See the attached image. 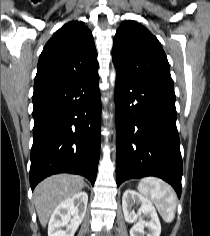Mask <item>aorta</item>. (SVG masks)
<instances>
[{"label": "aorta", "instance_id": "aorta-1", "mask_svg": "<svg viewBox=\"0 0 210 236\" xmlns=\"http://www.w3.org/2000/svg\"><path fill=\"white\" fill-rule=\"evenodd\" d=\"M115 76H116V73H115V71L113 70V71L111 72V75H110V82H111L112 85L114 84Z\"/></svg>", "mask_w": 210, "mask_h": 236}]
</instances>
